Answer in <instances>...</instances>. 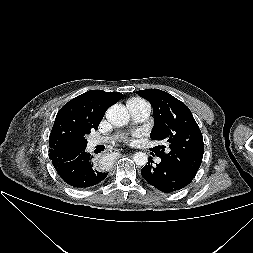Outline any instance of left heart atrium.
<instances>
[{
  "label": "left heart atrium",
  "mask_w": 253,
  "mask_h": 253,
  "mask_svg": "<svg viewBox=\"0 0 253 253\" xmlns=\"http://www.w3.org/2000/svg\"><path fill=\"white\" fill-rule=\"evenodd\" d=\"M138 136H139V133H134L132 137L125 135L121 139L125 142H130L132 141L133 137H138Z\"/></svg>",
  "instance_id": "39dd6f15"
}]
</instances>
